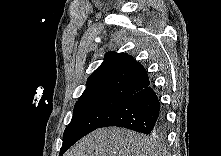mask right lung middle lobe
Masks as SVG:
<instances>
[{
  "mask_svg": "<svg viewBox=\"0 0 221 156\" xmlns=\"http://www.w3.org/2000/svg\"><path fill=\"white\" fill-rule=\"evenodd\" d=\"M125 100L104 96L80 98L75 104L72 120L64 131L60 156L80 138L99 128Z\"/></svg>",
  "mask_w": 221,
  "mask_h": 156,
  "instance_id": "right-lung-middle-lobe-1",
  "label": "right lung middle lobe"
}]
</instances>
